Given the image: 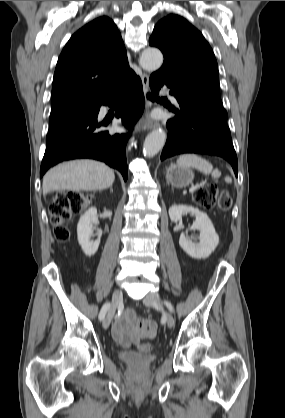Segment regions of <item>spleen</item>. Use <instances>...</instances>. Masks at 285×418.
I'll return each instance as SVG.
<instances>
[{"label": "spleen", "instance_id": "1", "mask_svg": "<svg viewBox=\"0 0 285 418\" xmlns=\"http://www.w3.org/2000/svg\"><path fill=\"white\" fill-rule=\"evenodd\" d=\"M177 165L181 167L195 168L205 175L211 174L212 177L218 178L221 172L218 169H213V165L206 159L196 154H183L177 159ZM226 182H231L230 177H225Z\"/></svg>", "mask_w": 285, "mask_h": 418}]
</instances>
